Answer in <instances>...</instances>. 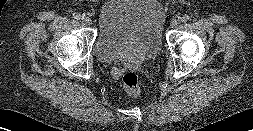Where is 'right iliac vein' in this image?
Wrapping results in <instances>:
<instances>
[{
	"label": "right iliac vein",
	"instance_id": "right-iliac-vein-1",
	"mask_svg": "<svg viewBox=\"0 0 253 131\" xmlns=\"http://www.w3.org/2000/svg\"><path fill=\"white\" fill-rule=\"evenodd\" d=\"M82 21H83L86 25H88V26H90V25L92 24V20H91V18L88 17V16H84V17L82 18Z\"/></svg>",
	"mask_w": 253,
	"mask_h": 131
}]
</instances>
